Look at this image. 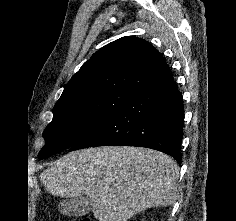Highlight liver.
<instances>
[{
	"label": "liver",
	"instance_id": "6515ba94",
	"mask_svg": "<svg viewBox=\"0 0 236 221\" xmlns=\"http://www.w3.org/2000/svg\"><path fill=\"white\" fill-rule=\"evenodd\" d=\"M178 176V164L167 154L109 146L70 152L40 177L53 196L92 199L98 221H127L145 209L173 204Z\"/></svg>",
	"mask_w": 236,
	"mask_h": 221
}]
</instances>
